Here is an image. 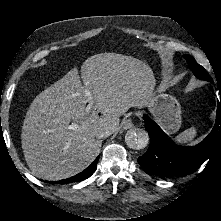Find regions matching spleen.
Instances as JSON below:
<instances>
[{"instance_id": "3e777b00", "label": "spleen", "mask_w": 221, "mask_h": 221, "mask_svg": "<svg viewBox=\"0 0 221 221\" xmlns=\"http://www.w3.org/2000/svg\"><path fill=\"white\" fill-rule=\"evenodd\" d=\"M197 130L196 128L192 127L189 128L182 133H180L176 138L175 141L178 143H187L189 141H192L194 137L196 136Z\"/></svg>"}]
</instances>
